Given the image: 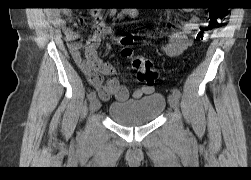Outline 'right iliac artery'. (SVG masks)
Returning <instances> with one entry per match:
<instances>
[{
  "label": "right iliac artery",
  "instance_id": "right-iliac-artery-1",
  "mask_svg": "<svg viewBox=\"0 0 251 180\" xmlns=\"http://www.w3.org/2000/svg\"><path fill=\"white\" fill-rule=\"evenodd\" d=\"M96 98V92L95 91H91L89 94H88V99L90 101L94 100Z\"/></svg>",
  "mask_w": 251,
  "mask_h": 180
}]
</instances>
